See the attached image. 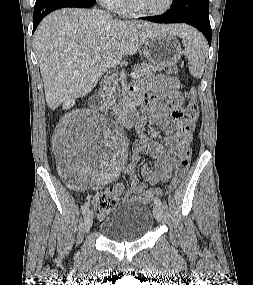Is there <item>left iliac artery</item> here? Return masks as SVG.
<instances>
[{"instance_id": "44dca946", "label": "left iliac artery", "mask_w": 253, "mask_h": 285, "mask_svg": "<svg viewBox=\"0 0 253 285\" xmlns=\"http://www.w3.org/2000/svg\"><path fill=\"white\" fill-rule=\"evenodd\" d=\"M154 203H155L156 205L162 206L161 200H160L159 198H157V197L154 198Z\"/></svg>"}]
</instances>
